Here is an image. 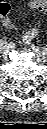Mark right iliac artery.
Instances as JSON below:
<instances>
[{"label": "right iliac artery", "mask_w": 47, "mask_h": 129, "mask_svg": "<svg viewBox=\"0 0 47 129\" xmlns=\"http://www.w3.org/2000/svg\"><path fill=\"white\" fill-rule=\"evenodd\" d=\"M6 44H7V42H6L5 40H3V39L0 40V46H1V45H6Z\"/></svg>", "instance_id": "right-iliac-artery-1"}]
</instances>
